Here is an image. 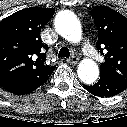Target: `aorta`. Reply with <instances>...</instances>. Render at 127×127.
<instances>
[{"instance_id":"obj_1","label":"aorta","mask_w":127,"mask_h":127,"mask_svg":"<svg viewBox=\"0 0 127 127\" xmlns=\"http://www.w3.org/2000/svg\"><path fill=\"white\" fill-rule=\"evenodd\" d=\"M57 32L69 42L81 40V25L76 15L70 11H62L55 18ZM78 77L85 84L94 83L99 76L97 64L91 59H84L78 65Z\"/></svg>"}]
</instances>
